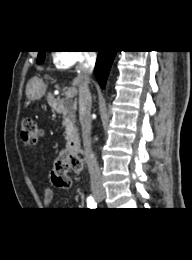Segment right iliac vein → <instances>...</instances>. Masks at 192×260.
Returning a JSON list of instances; mask_svg holds the SVG:
<instances>
[{
    "label": "right iliac vein",
    "mask_w": 192,
    "mask_h": 260,
    "mask_svg": "<svg viewBox=\"0 0 192 260\" xmlns=\"http://www.w3.org/2000/svg\"><path fill=\"white\" fill-rule=\"evenodd\" d=\"M94 197L98 200H102L105 197V193L101 191L94 192Z\"/></svg>",
    "instance_id": "right-iliac-vein-1"
}]
</instances>
